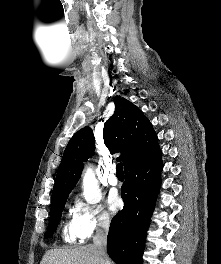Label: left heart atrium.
Instances as JSON below:
<instances>
[{
  "label": "left heart atrium",
  "instance_id": "obj_1",
  "mask_svg": "<svg viewBox=\"0 0 221 264\" xmlns=\"http://www.w3.org/2000/svg\"><path fill=\"white\" fill-rule=\"evenodd\" d=\"M108 205L112 212L117 211L121 207L122 200L117 193L114 192L110 194L108 198Z\"/></svg>",
  "mask_w": 221,
  "mask_h": 264
}]
</instances>
